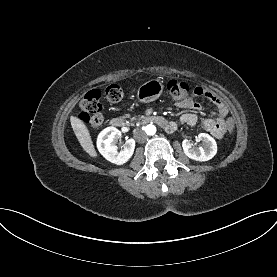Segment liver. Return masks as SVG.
<instances>
[{
  "instance_id": "obj_1",
  "label": "liver",
  "mask_w": 277,
  "mask_h": 277,
  "mask_svg": "<svg viewBox=\"0 0 277 277\" xmlns=\"http://www.w3.org/2000/svg\"><path fill=\"white\" fill-rule=\"evenodd\" d=\"M71 125L84 151L87 152L91 157L96 158L97 152L95 150L89 130L87 129L86 125L75 116L71 118Z\"/></svg>"
}]
</instances>
